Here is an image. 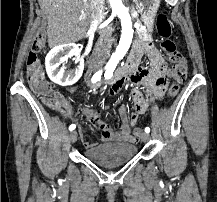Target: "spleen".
<instances>
[{
  "label": "spleen",
  "instance_id": "1",
  "mask_svg": "<svg viewBox=\"0 0 217 202\" xmlns=\"http://www.w3.org/2000/svg\"><path fill=\"white\" fill-rule=\"evenodd\" d=\"M166 5H177V0H166Z\"/></svg>",
  "mask_w": 217,
  "mask_h": 202
}]
</instances>
